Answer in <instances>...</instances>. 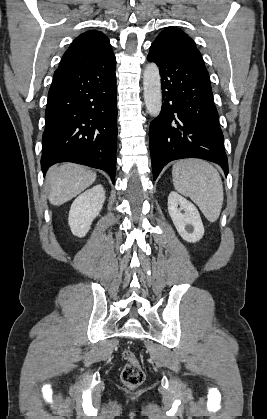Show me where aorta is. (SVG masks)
Wrapping results in <instances>:
<instances>
[{
	"mask_svg": "<svg viewBox=\"0 0 267 419\" xmlns=\"http://www.w3.org/2000/svg\"><path fill=\"white\" fill-rule=\"evenodd\" d=\"M144 100L147 112L157 117L162 106L161 78L155 63H149L143 74Z\"/></svg>",
	"mask_w": 267,
	"mask_h": 419,
	"instance_id": "aorta-1",
	"label": "aorta"
}]
</instances>
